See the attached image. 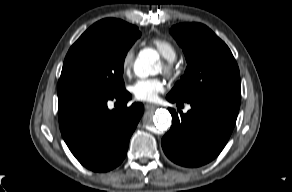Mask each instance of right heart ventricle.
<instances>
[{"mask_svg": "<svg viewBox=\"0 0 292 192\" xmlns=\"http://www.w3.org/2000/svg\"><path fill=\"white\" fill-rule=\"evenodd\" d=\"M151 43L156 47L164 59L169 62L175 60L177 56L176 47L169 40L164 38H154Z\"/></svg>", "mask_w": 292, "mask_h": 192, "instance_id": "e07e8e85", "label": "right heart ventricle"}]
</instances>
